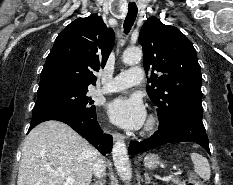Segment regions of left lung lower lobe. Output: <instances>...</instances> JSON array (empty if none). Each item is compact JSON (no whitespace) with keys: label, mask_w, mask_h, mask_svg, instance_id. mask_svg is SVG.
I'll use <instances>...</instances> for the list:
<instances>
[{"label":"left lung lower lobe","mask_w":233,"mask_h":185,"mask_svg":"<svg viewBox=\"0 0 233 185\" xmlns=\"http://www.w3.org/2000/svg\"><path fill=\"white\" fill-rule=\"evenodd\" d=\"M182 141L196 142L210 154L208 137L202 122L201 101L186 104L168 124L159 126V130L149 139L132 141L128 151L136 154L166 143Z\"/></svg>","instance_id":"left-lung-lower-lobe-1"}]
</instances>
